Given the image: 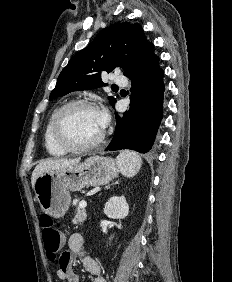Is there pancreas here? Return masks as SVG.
<instances>
[{"mask_svg":"<svg viewBox=\"0 0 232 282\" xmlns=\"http://www.w3.org/2000/svg\"><path fill=\"white\" fill-rule=\"evenodd\" d=\"M86 217L87 215L85 209L78 208L72 222L75 225L82 224L85 221Z\"/></svg>","mask_w":232,"mask_h":282,"instance_id":"obj_1","label":"pancreas"}]
</instances>
